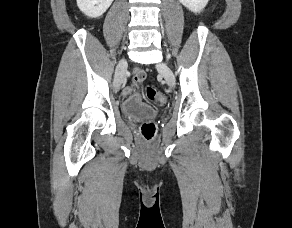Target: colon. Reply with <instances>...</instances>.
<instances>
[{
    "instance_id": "obj_1",
    "label": "colon",
    "mask_w": 292,
    "mask_h": 228,
    "mask_svg": "<svg viewBox=\"0 0 292 228\" xmlns=\"http://www.w3.org/2000/svg\"><path fill=\"white\" fill-rule=\"evenodd\" d=\"M146 96L149 101L157 106H162L166 102L165 94L153 87L146 89ZM140 130L143 139L147 142H151L156 136V124L152 121L144 122Z\"/></svg>"
}]
</instances>
